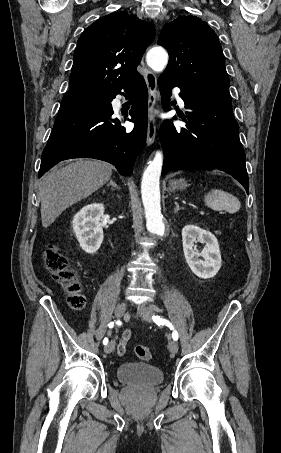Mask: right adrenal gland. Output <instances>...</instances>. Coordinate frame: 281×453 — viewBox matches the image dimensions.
Wrapping results in <instances>:
<instances>
[{
    "mask_svg": "<svg viewBox=\"0 0 281 453\" xmlns=\"http://www.w3.org/2000/svg\"><path fill=\"white\" fill-rule=\"evenodd\" d=\"M107 186H114V188H120V186H118V184H116V182H114V180H110V182H108Z\"/></svg>",
    "mask_w": 281,
    "mask_h": 453,
    "instance_id": "obj_1",
    "label": "right adrenal gland"
}]
</instances>
